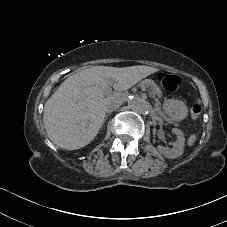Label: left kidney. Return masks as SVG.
I'll use <instances>...</instances> for the list:
<instances>
[{"mask_svg": "<svg viewBox=\"0 0 227 227\" xmlns=\"http://www.w3.org/2000/svg\"><path fill=\"white\" fill-rule=\"evenodd\" d=\"M171 132L175 134L177 139L174 146L172 148H165L163 146H158V151L164 157L169 159H174L183 154L185 139H184V133L181 130L177 128H172Z\"/></svg>", "mask_w": 227, "mask_h": 227, "instance_id": "obj_1", "label": "left kidney"}]
</instances>
